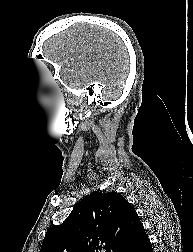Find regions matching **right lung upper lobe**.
<instances>
[{"instance_id": "cb5924a9", "label": "right lung upper lobe", "mask_w": 193, "mask_h": 252, "mask_svg": "<svg viewBox=\"0 0 193 252\" xmlns=\"http://www.w3.org/2000/svg\"><path fill=\"white\" fill-rule=\"evenodd\" d=\"M143 226L128 201L116 192L95 191L49 228L40 252H123Z\"/></svg>"}]
</instances>
